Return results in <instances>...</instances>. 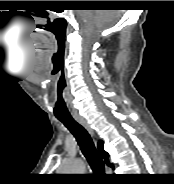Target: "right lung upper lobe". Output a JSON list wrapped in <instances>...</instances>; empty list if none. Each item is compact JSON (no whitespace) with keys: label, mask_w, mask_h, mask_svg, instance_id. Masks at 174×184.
I'll list each match as a JSON object with an SVG mask.
<instances>
[{"label":"right lung upper lobe","mask_w":174,"mask_h":184,"mask_svg":"<svg viewBox=\"0 0 174 184\" xmlns=\"http://www.w3.org/2000/svg\"><path fill=\"white\" fill-rule=\"evenodd\" d=\"M98 149H99V152L102 155V157L105 158L106 164L109 165V166H111V167H113V165L110 164L109 161H108V159H107L108 158V153L104 151V149H103V142L102 141H99V143H98Z\"/></svg>","instance_id":"1"}]
</instances>
